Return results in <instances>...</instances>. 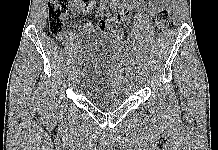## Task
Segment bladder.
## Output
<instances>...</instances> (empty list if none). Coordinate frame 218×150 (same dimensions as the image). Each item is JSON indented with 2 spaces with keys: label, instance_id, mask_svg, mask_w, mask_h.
Returning a JSON list of instances; mask_svg holds the SVG:
<instances>
[{
  "label": "bladder",
  "instance_id": "obj_1",
  "mask_svg": "<svg viewBox=\"0 0 218 150\" xmlns=\"http://www.w3.org/2000/svg\"><path fill=\"white\" fill-rule=\"evenodd\" d=\"M119 44L99 33L89 35L84 43L78 82L85 98L98 108L120 107L132 91L133 76Z\"/></svg>",
  "mask_w": 218,
  "mask_h": 150
}]
</instances>
